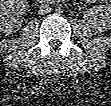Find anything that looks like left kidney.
Listing matches in <instances>:
<instances>
[{"instance_id":"left-kidney-1","label":"left kidney","mask_w":111,"mask_h":106,"mask_svg":"<svg viewBox=\"0 0 111 106\" xmlns=\"http://www.w3.org/2000/svg\"><path fill=\"white\" fill-rule=\"evenodd\" d=\"M93 25L101 31L111 29V7L104 5L91 9Z\"/></svg>"}]
</instances>
